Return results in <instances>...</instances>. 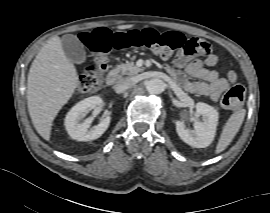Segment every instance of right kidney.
Instances as JSON below:
<instances>
[{
  "label": "right kidney",
  "instance_id": "ca27d5eb",
  "mask_svg": "<svg viewBox=\"0 0 270 213\" xmlns=\"http://www.w3.org/2000/svg\"><path fill=\"white\" fill-rule=\"evenodd\" d=\"M103 106V100L99 96H92L78 102L67 113L65 127L72 139L77 141H91L99 138L108 128L111 117L107 115L98 125L91 127L92 117L80 122L91 110Z\"/></svg>",
  "mask_w": 270,
  "mask_h": 213
}]
</instances>
